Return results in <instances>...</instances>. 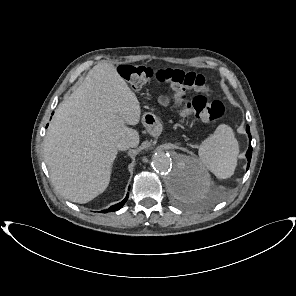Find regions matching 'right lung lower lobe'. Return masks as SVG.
Masks as SVG:
<instances>
[{
	"instance_id": "right-lung-lower-lobe-1",
	"label": "right lung lower lobe",
	"mask_w": 296,
	"mask_h": 296,
	"mask_svg": "<svg viewBox=\"0 0 296 296\" xmlns=\"http://www.w3.org/2000/svg\"><path fill=\"white\" fill-rule=\"evenodd\" d=\"M47 126H48V125H47ZM128 196H129V195H127L126 198H125L123 201H121L120 203L115 204V205L111 206L108 210H103L102 212H103V213H106V212H108V211H112V212H114V211L119 210V209L124 205V203L127 201Z\"/></svg>"
}]
</instances>
